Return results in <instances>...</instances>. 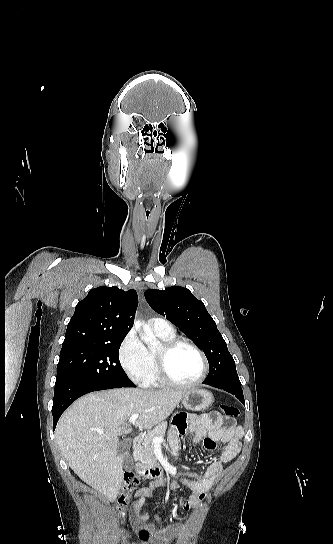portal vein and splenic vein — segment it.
<instances>
[{
  "mask_svg": "<svg viewBox=\"0 0 333 544\" xmlns=\"http://www.w3.org/2000/svg\"><path fill=\"white\" fill-rule=\"evenodd\" d=\"M138 417H139V414H133V415L130 417V419H129V421H128V424L134 423V422L137 420ZM163 441H164L163 438H160V437H154V438H153V443H154V444H160V443H162Z\"/></svg>",
  "mask_w": 333,
  "mask_h": 544,
  "instance_id": "18ae733b",
  "label": "portal vein and splenic vein"
}]
</instances>
